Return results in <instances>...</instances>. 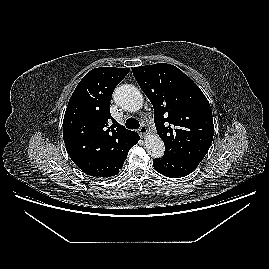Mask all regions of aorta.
<instances>
[{"label":"aorta","instance_id":"aorta-1","mask_svg":"<svg viewBox=\"0 0 269 269\" xmlns=\"http://www.w3.org/2000/svg\"><path fill=\"white\" fill-rule=\"evenodd\" d=\"M116 103L123 109L135 112L142 108L143 96L138 88L124 84L116 88L114 92ZM147 153L153 158H160L164 154V143L158 134H149L145 138Z\"/></svg>","mask_w":269,"mask_h":269}]
</instances>
